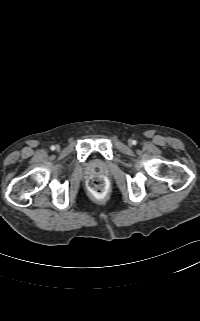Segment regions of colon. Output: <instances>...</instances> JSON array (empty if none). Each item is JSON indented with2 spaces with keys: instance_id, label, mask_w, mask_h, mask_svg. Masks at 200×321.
Masks as SVG:
<instances>
[{
  "instance_id": "5ec220e1",
  "label": "colon",
  "mask_w": 200,
  "mask_h": 321,
  "mask_svg": "<svg viewBox=\"0 0 200 321\" xmlns=\"http://www.w3.org/2000/svg\"><path fill=\"white\" fill-rule=\"evenodd\" d=\"M89 191L96 197L101 198L106 194L107 181L102 176H95L88 181Z\"/></svg>"
}]
</instances>
